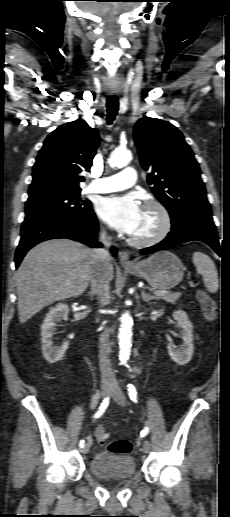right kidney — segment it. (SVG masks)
I'll list each match as a JSON object with an SVG mask.
<instances>
[{"label":"right kidney","instance_id":"1","mask_svg":"<svg viewBox=\"0 0 230 517\" xmlns=\"http://www.w3.org/2000/svg\"><path fill=\"white\" fill-rule=\"evenodd\" d=\"M68 314L69 307L66 304L59 303L47 313L41 326L42 353L45 360L50 364L61 360L69 346L68 341L60 347L53 346L52 341L56 323L67 320Z\"/></svg>","mask_w":230,"mask_h":517}]
</instances>
